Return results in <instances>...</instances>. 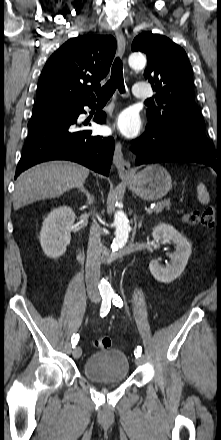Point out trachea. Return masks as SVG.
<instances>
[{
	"label": "trachea",
	"instance_id": "1",
	"mask_svg": "<svg viewBox=\"0 0 221 440\" xmlns=\"http://www.w3.org/2000/svg\"><path fill=\"white\" fill-rule=\"evenodd\" d=\"M118 89L120 93H125L122 61L117 57L112 65L111 77L102 87L95 90L98 99H109ZM150 100H146L148 102Z\"/></svg>",
	"mask_w": 221,
	"mask_h": 440
}]
</instances>
